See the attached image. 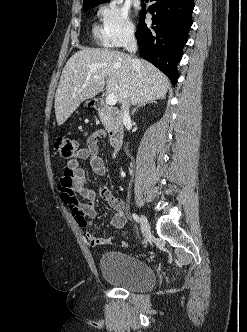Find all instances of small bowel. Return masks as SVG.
<instances>
[{"label": "small bowel", "instance_id": "obj_1", "mask_svg": "<svg viewBox=\"0 0 247 332\" xmlns=\"http://www.w3.org/2000/svg\"><path fill=\"white\" fill-rule=\"evenodd\" d=\"M103 135L102 131L94 132L88 137L87 146L79 148L75 156L68 160L59 180L58 189L61 200L68 206L80 227L89 226L90 220L97 216L96 198L100 195L114 211L111 226L121 229L126 223L124 201L113 196L106 186H101L98 192L90 189L86 183L85 170L80 165L81 161L88 160L95 175L106 174L104 161L98 153V139ZM86 239L92 247L108 245L112 242L111 238L98 237L91 232L86 233Z\"/></svg>", "mask_w": 247, "mask_h": 332}]
</instances>
